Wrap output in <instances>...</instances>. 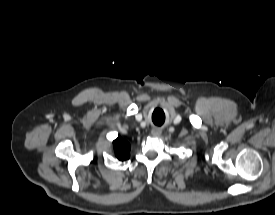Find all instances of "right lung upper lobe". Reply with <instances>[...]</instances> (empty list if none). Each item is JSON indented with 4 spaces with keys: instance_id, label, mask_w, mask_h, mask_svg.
Returning <instances> with one entry per match:
<instances>
[{
    "instance_id": "cb5924a9",
    "label": "right lung upper lobe",
    "mask_w": 275,
    "mask_h": 215,
    "mask_svg": "<svg viewBox=\"0 0 275 215\" xmlns=\"http://www.w3.org/2000/svg\"><path fill=\"white\" fill-rule=\"evenodd\" d=\"M113 146L115 150L116 157L119 160H126L130 157V144L118 137L113 141Z\"/></svg>"
}]
</instances>
